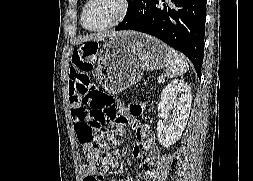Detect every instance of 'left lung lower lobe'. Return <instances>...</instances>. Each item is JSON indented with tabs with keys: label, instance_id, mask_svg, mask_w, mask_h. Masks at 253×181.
<instances>
[{
	"label": "left lung lower lobe",
	"instance_id": "0a47b994",
	"mask_svg": "<svg viewBox=\"0 0 253 181\" xmlns=\"http://www.w3.org/2000/svg\"><path fill=\"white\" fill-rule=\"evenodd\" d=\"M207 0H137L116 30L155 36L184 53L199 78L204 54Z\"/></svg>",
	"mask_w": 253,
	"mask_h": 181
}]
</instances>
